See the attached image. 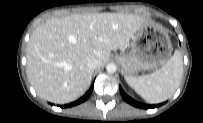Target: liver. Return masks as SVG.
<instances>
[{
    "instance_id": "1",
    "label": "liver",
    "mask_w": 203,
    "mask_h": 123,
    "mask_svg": "<svg viewBox=\"0 0 203 123\" xmlns=\"http://www.w3.org/2000/svg\"><path fill=\"white\" fill-rule=\"evenodd\" d=\"M128 13L74 14L40 24L27 45V76L41 98L57 104L77 100L89 88L93 71L86 60L104 65L144 26Z\"/></svg>"
}]
</instances>
